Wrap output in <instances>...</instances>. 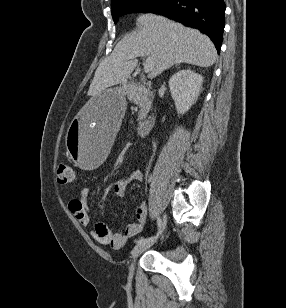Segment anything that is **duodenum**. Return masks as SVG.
<instances>
[{
	"mask_svg": "<svg viewBox=\"0 0 286 308\" xmlns=\"http://www.w3.org/2000/svg\"><path fill=\"white\" fill-rule=\"evenodd\" d=\"M153 123V118L142 121L138 126V133L141 136H145Z\"/></svg>",
	"mask_w": 286,
	"mask_h": 308,
	"instance_id": "obj_1",
	"label": "duodenum"
}]
</instances>
